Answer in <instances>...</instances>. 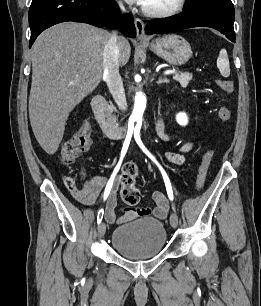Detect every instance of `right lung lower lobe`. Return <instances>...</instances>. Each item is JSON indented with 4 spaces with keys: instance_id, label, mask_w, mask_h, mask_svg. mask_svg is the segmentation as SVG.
<instances>
[{
    "instance_id": "obj_1",
    "label": "right lung lower lobe",
    "mask_w": 261,
    "mask_h": 306,
    "mask_svg": "<svg viewBox=\"0 0 261 306\" xmlns=\"http://www.w3.org/2000/svg\"><path fill=\"white\" fill-rule=\"evenodd\" d=\"M118 11L115 0H32L29 9V47L42 31L61 22L76 21L97 27L115 26L119 18ZM120 29L126 36H136L130 14L124 15Z\"/></svg>"
}]
</instances>
